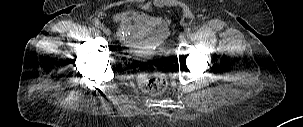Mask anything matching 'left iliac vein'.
Listing matches in <instances>:
<instances>
[{"label":"left iliac vein","mask_w":303,"mask_h":127,"mask_svg":"<svg viewBox=\"0 0 303 127\" xmlns=\"http://www.w3.org/2000/svg\"><path fill=\"white\" fill-rule=\"evenodd\" d=\"M179 39H180L181 42H185L186 36L184 35V33L180 34Z\"/></svg>","instance_id":"obj_1"}]
</instances>
